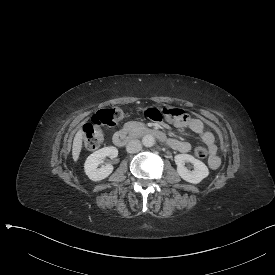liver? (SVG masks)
I'll list each match as a JSON object with an SVG mask.
<instances>
[{"mask_svg":"<svg viewBox=\"0 0 275 275\" xmlns=\"http://www.w3.org/2000/svg\"><path fill=\"white\" fill-rule=\"evenodd\" d=\"M82 131L79 130L73 140V146H72V157L73 160L76 162L79 158V154L81 152V148H82Z\"/></svg>","mask_w":275,"mask_h":275,"instance_id":"1","label":"liver"}]
</instances>
